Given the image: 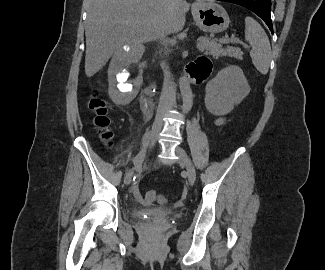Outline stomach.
<instances>
[{
  "mask_svg": "<svg viewBox=\"0 0 325 270\" xmlns=\"http://www.w3.org/2000/svg\"><path fill=\"white\" fill-rule=\"evenodd\" d=\"M196 25L205 32L219 33L230 23L225 9L215 3H197L192 9Z\"/></svg>",
  "mask_w": 325,
  "mask_h": 270,
  "instance_id": "obj_1",
  "label": "stomach"
}]
</instances>
